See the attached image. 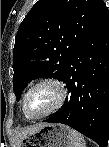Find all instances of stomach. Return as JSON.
<instances>
[{
  "label": "stomach",
  "mask_w": 109,
  "mask_h": 147,
  "mask_svg": "<svg viewBox=\"0 0 109 147\" xmlns=\"http://www.w3.org/2000/svg\"><path fill=\"white\" fill-rule=\"evenodd\" d=\"M72 129L62 124H47L23 138L20 147H72Z\"/></svg>",
  "instance_id": "1"
}]
</instances>
